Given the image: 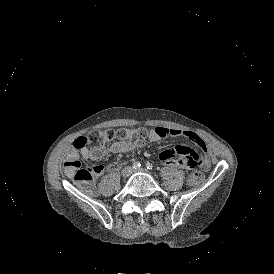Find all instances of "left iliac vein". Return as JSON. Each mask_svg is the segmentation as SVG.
<instances>
[{
	"mask_svg": "<svg viewBox=\"0 0 274 274\" xmlns=\"http://www.w3.org/2000/svg\"><path fill=\"white\" fill-rule=\"evenodd\" d=\"M133 172H134V173H137V172H144V173H147V170H146V169H143V168H140L139 170H134Z\"/></svg>",
	"mask_w": 274,
	"mask_h": 274,
	"instance_id": "1",
	"label": "left iliac vein"
}]
</instances>
